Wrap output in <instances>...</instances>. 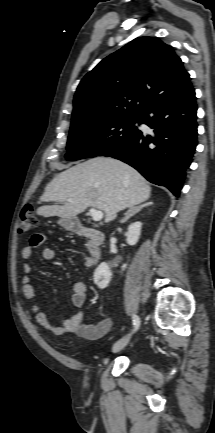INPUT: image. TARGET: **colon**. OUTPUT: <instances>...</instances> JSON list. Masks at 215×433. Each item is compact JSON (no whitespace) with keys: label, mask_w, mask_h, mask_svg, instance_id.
Returning <instances> with one entry per match:
<instances>
[{"label":"colon","mask_w":215,"mask_h":433,"mask_svg":"<svg viewBox=\"0 0 215 433\" xmlns=\"http://www.w3.org/2000/svg\"><path fill=\"white\" fill-rule=\"evenodd\" d=\"M38 224V219L34 213L32 205H26L22 208L18 219V232L26 234L33 231Z\"/></svg>","instance_id":"5ec220e1"}]
</instances>
